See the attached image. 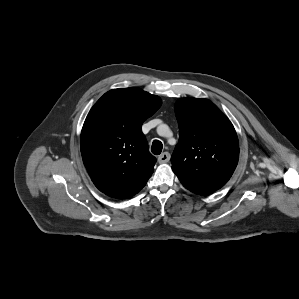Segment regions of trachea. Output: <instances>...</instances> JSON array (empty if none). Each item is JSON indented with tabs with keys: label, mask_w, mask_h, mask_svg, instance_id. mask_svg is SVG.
I'll list each match as a JSON object with an SVG mask.
<instances>
[{
	"label": "trachea",
	"mask_w": 299,
	"mask_h": 299,
	"mask_svg": "<svg viewBox=\"0 0 299 299\" xmlns=\"http://www.w3.org/2000/svg\"><path fill=\"white\" fill-rule=\"evenodd\" d=\"M163 144L159 140H154L152 143L151 151L155 155H159L162 152Z\"/></svg>",
	"instance_id": "obj_1"
}]
</instances>
